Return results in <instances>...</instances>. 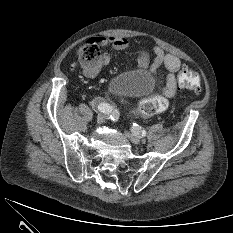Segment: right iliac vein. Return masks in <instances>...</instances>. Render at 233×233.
<instances>
[{
	"label": "right iliac vein",
	"mask_w": 233,
	"mask_h": 233,
	"mask_svg": "<svg viewBox=\"0 0 233 233\" xmlns=\"http://www.w3.org/2000/svg\"><path fill=\"white\" fill-rule=\"evenodd\" d=\"M105 118H106V115L98 114L96 121H97L98 124H102V123L105 122Z\"/></svg>",
	"instance_id": "right-iliac-vein-1"
}]
</instances>
